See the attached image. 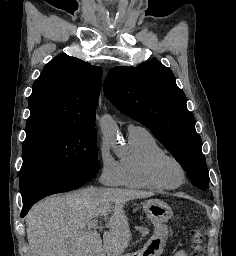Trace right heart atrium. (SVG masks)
<instances>
[{
  "label": "right heart atrium",
  "instance_id": "obj_1",
  "mask_svg": "<svg viewBox=\"0 0 236 256\" xmlns=\"http://www.w3.org/2000/svg\"><path fill=\"white\" fill-rule=\"evenodd\" d=\"M99 179L106 186L117 187L123 183L121 163L108 149L105 143H101L98 153Z\"/></svg>",
  "mask_w": 236,
  "mask_h": 256
}]
</instances>
